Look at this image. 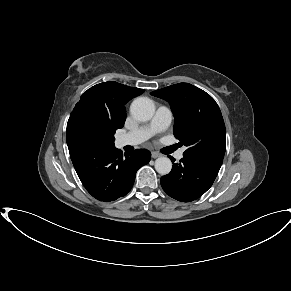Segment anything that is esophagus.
Segmentation results:
<instances>
[{
    "label": "esophagus",
    "mask_w": 291,
    "mask_h": 291,
    "mask_svg": "<svg viewBox=\"0 0 291 291\" xmlns=\"http://www.w3.org/2000/svg\"><path fill=\"white\" fill-rule=\"evenodd\" d=\"M151 155H152V158H154V159L161 156V154L154 152V151L151 153Z\"/></svg>",
    "instance_id": "obj_1"
}]
</instances>
